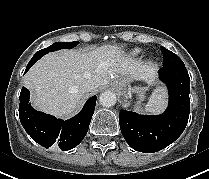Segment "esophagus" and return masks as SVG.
I'll return each mask as SVG.
<instances>
[{"label": "esophagus", "instance_id": "esophagus-1", "mask_svg": "<svg viewBox=\"0 0 209 179\" xmlns=\"http://www.w3.org/2000/svg\"><path fill=\"white\" fill-rule=\"evenodd\" d=\"M118 97H119V99H120V100H122V101H123V100H125V99H126V97H127V96H126V94H125V93H120Z\"/></svg>", "mask_w": 209, "mask_h": 179}]
</instances>
